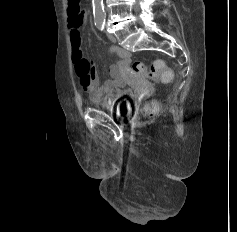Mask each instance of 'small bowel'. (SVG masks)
<instances>
[{
	"label": "small bowel",
	"mask_w": 237,
	"mask_h": 232,
	"mask_svg": "<svg viewBox=\"0 0 237 232\" xmlns=\"http://www.w3.org/2000/svg\"><path fill=\"white\" fill-rule=\"evenodd\" d=\"M85 20L86 16L83 14L77 18L70 16L68 21L75 71L83 90L88 93L92 101H104L107 104H112L119 100L126 91L123 76L128 72L130 54L123 48L111 46L110 52L116 56V60L108 69L110 79L104 84H100L96 68L85 58L81 48L80 28Z\"/></svg>",
	"instance_id": "1"
}]
</instances>
